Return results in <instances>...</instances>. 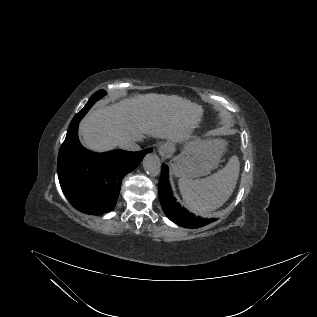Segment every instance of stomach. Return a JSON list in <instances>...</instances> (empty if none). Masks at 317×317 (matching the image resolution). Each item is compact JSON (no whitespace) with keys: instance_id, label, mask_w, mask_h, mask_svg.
I'll return each mask as SVG.
<instances>
[{"instance_id":"stomach-1","label":"stomach","mask_w":317,"mask_h":317,"mask_svg":"<svg viewBox=\"0 0 317 317\" xmlns=\"http://www.w3.org/2000/svg\"><path fill=\"white\" fill-rule=\"evenodd\" d=\"M225 150V142L219 139H195L183 145V150L171 161L177 177L198 178L217 168Z\"/></svg>"}]
</instances>
